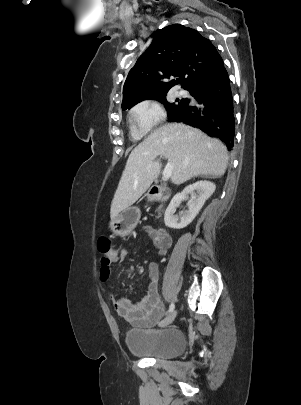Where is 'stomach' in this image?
<instances>
[{
	"label": "stomach",
	"instance_id": "0dacf381",
	"mask_svg": "<svg viewBox=\"0 0 301 405\" xmlns=\"http://www.w3.org/2000/svg\"><path fill=\"white\" fill-rule=\"evenodd\" d=\"M139 220V211L136 209H128L112 220L110 228L115 235L126 236L131 233Z\"/></svg>",
	"mask_w": 301,
	"mask_h": 405
}]
</instances>
